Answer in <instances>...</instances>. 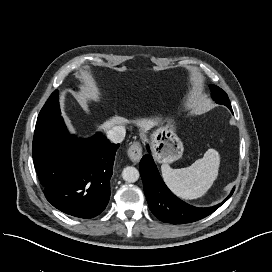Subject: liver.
Listing matches in <instances>:
<instances>
[{
	"label": "liver",
	"mask_w": 272,
	"mask_h": 272,
	"mask_svg": "<svg viewBox=\"0 0 272 272\" xmlns=\"http://www.w3.org/2000/svg\"><path fill=\"white\" fill-rule=\"evenodd\" d=\"M126 123H129L128 119L116 115L101 124L99 128L104 131H109L114 125H124ZM135 123L142 131H148L157 124V121L154 119H137Z\"/></svg>",
	"instance_id": "1"
}]
</instances>
